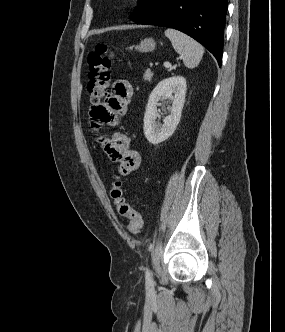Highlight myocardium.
Returning a JSON list of instances; mask_svg holds the SVG:
<instances>
[{
	"label": "myocardium",
	"mask_w": 285,
	"mask_h": 332,
	"mask_svg": "<svg viewBox=\"0 0 285 332\" xmlns=\"http://www.w3.org/2000/svg\"><path fill=\"white\" fill-rule=\"evenodd\" d=\"M141 0H122V3L125 5H136L139 4Z\"/></svg>",
	"instance_id": "myocardium-1"
}]
</instances>
